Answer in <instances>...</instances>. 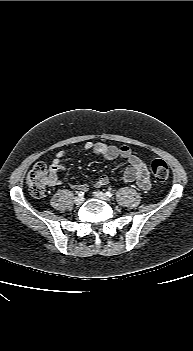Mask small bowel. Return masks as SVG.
<instances>
[{
	"instance_id": "1",
	"label": "small bowel",
	"mask_w": 193,
	"mask_h": 351,
	"mask_svg": "<svg viewBox=\"0 0 193 351\" xmlns=\"http://www.w3.org/2000/svg\"><path fill=\"white\" fill-rule=\"evenodd\" d=\"M83 148L85 151H90L95 155L101 156L107 161H113L119 157L125 159L128 164L123 169V180L127 183L135 182L142 190H148L151 187V180L145 163L142 159L134 155L128 146L123 145L118 147L103 142L88 141L84 144ZM70 153L71 152L68 150H60L55 154L50 165L51 185H60L62 183L58 173L65 170V166L62 164V159L68 156ZM108 183L109 177L103 175L98 178L95 186L104 187L108 185ZM72 186L81 191L88 190V186L86 184H73Z\"/></svg>"
}]
</instances>
